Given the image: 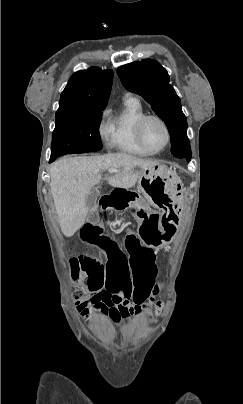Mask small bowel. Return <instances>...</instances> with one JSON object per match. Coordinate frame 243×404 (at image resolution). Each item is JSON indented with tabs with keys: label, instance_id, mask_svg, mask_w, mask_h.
<instances>
[{
	"label": "small bowel",
	"instance_id": "1",
	"mask_svg": "<svg viewBox=\"0 0 243 404\" xmlns=\"http://www.w3.org/2000/svg\"><path fill=\"white\" fill-rule=\"evenodd\" d=\"M86 243L99 245L107 260L103 263L93 255L84 253L76 259L88 276L89 299L77 309L85 317L95 311L105 320L115 324L142 313L158 312L161 302L155 297L160 287L155 283L156 254L152 248L144 247L130 235L126 240V251L117 243L102 235L99 225L89 222L82 230ZM137 294L142 299L132 305L130 299ZM149 299L148 304H142Z\"/></svg>",
	"mask_w": 243,
	"mask_h": 404
}]
</instances>
